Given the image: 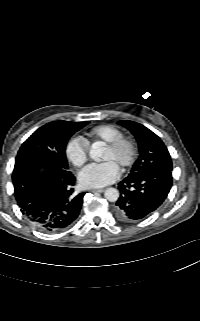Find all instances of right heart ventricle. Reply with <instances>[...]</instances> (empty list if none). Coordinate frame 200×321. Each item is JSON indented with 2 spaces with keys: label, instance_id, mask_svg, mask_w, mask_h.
Returning a JSON list of instances; mask_svg holds the SVG:
<instances>
[{
  "label": "right heart ventricle",
  "instance_id": "e07e8e85",
  "mask_svg": "<svg viewBox=\"0 0 200 321\" xmlns=\"http://www.w3.org/2000/svg\"><path fill=\"white\" fill-rule=\"evenodd\" d=\"M123 136L122 130L114 125L103 124L93 128L89 133V141H102L109 143Z\"/></svg>",
  "mask_w": 200,
  "mask_h": 321
}]
</instances>
